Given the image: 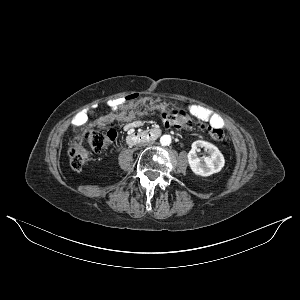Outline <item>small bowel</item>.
<instances>
[{
    "label": "small bowel",
    "instance_id": "small-bowel-1",
    "mask_svg": "<svg viewBox=\"0 0 300 300\" xmlns=\"http://www.w3.org/2000/svg\"><path fill=\"white\" fill-rule=\"evenodd\" d=\"M188 110L193 116L208 120L213 125H216L219 127L224 126V122L219 115L213 113L212 111H210L204 107H201L198 105H190L188 107ZM93 112H94V108H88V109H85V110L79 112L78 114H76L73 119L74 125H76V126L85 125L89 121V118L92 116ZM105 122H106V118L100 117V118L96 119L93 122V124L101 125V124H104ZM139 126H141V121H138V120L130 121L128 124L129 128H135V127H139Z\"/></svg>",
    "mask_w": 300,
    "mask_h": 300
}]
</instances>
